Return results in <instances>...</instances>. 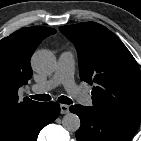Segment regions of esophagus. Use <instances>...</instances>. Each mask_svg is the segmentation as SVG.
Wrapping results in <instances>:
<instances>
[{
    "instance_id": "1",
    "label": "esophagus",
    "mask_w": 141,
    "mask_h": 141,
    "mask_svg": "<svg viewBox=\"0 0 141 141\" xmlns=\"http://www.w3.org/2000/svg\"><path fill=\"white\" fill-rule=\"evenodd\" d=\"M61 114H67L69 112V106L65 104L60 105Z\"/></svg>"
}]
</instances>
